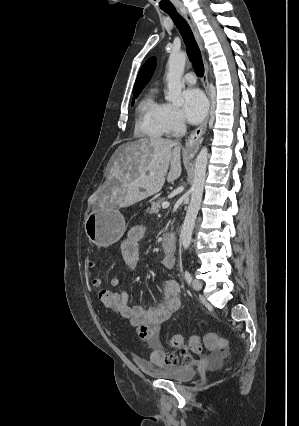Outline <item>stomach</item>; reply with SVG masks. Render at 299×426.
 Wrapping results in <instances>:
<instances>
[{"mask_svg": "<svg viewBox=\"0 0 299 426\" xmlns=\"http://www.w3.org/2000/svg\"><path fill=\"white\" fill-rule=\"evenodd\" d=\"M88 239L99 247H109L123 236L126 225L124 216L116 206H98L85 219Z\"/></svg>", "mask_w": 299, "mask_h": 426, "instance_id": "1", "label": "stomach"}]
</instances>
